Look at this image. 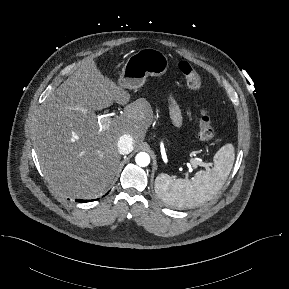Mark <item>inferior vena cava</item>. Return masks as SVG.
<instances>
[{
	"label": "inferior vena cava",
	"instance_id": "inferior-vena-cava-1",
	"mask_svg": "<svg viewBox=\"0 0 289 289\" xmlns=\"http://www.w3.org/2000/svg\"><path fill=\"white\" fill-rule=\"evenodd\" d=\"M118 151L120 154H129L133 150V138L129 134L122 135L117 143Z\"/></svg>",
	"mask_w": 289,
	"mask_h": 289
}]
</instances>
